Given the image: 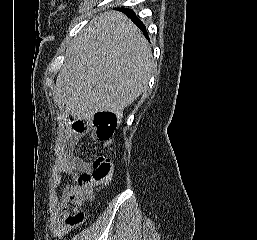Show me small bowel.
<instances>
[{"instance_id": "1", "label": "small bowel", "mask_w": 257, "mask_h": 240, "mask_svg": "<svg viewBox=\"0 0 257 240\" xmlns=\"http://www.w3.org/2000/svg\"><path fill=\"white\" fill-rule=\"evenodd\" d=\"M81 138V134H75L67 127H62L56 143V159L53 167L52 181L54 188H58L62 182L64 175H70L74 179L91 169V163L83 160L74 154V148ZM102 147L105 149L113 150V143L111 140L103 141ZM73 185H66L63 189V195L68 194ZM50 233L53 238H61L68 231L70 226L64 221L59 201L52 202L50 207Z\"/></svg>"}]
</instances>
